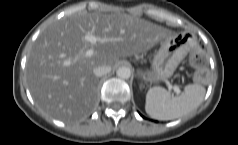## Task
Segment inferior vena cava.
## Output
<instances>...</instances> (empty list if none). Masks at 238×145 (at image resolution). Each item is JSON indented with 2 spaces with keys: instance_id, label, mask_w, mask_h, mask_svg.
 Segmentation results:
<instances>
[{
  "instance_id": "obj_1",
  "label": "inferior vena cava",
  "mask_w": 238,
  "mask_h": 145,
  "mask_svg": "<svg viewBox=\"0 0 238 145\" xmlns=\"http://www.w3.org/2000/svg\"><path fill=\"white\" fill-rule=\"evenodd\" d=\"M93 72H94L95 76L102 77V76L108 74L109 72H111V67L105 66V65L98 66V67L94 68Z\"/></svg>"
}]
</instances>
